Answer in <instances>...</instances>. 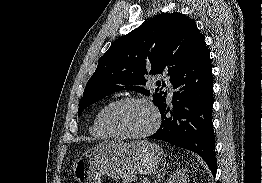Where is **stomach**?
I'll use <instances>...</instances> for the list:
<instances>
[{"label":"stomach","instance_id":"0dacf381","mask_svg":"<svg viewBox=\"0 0 262 183\" xmlns=\"http://www.w3.org/2000/svg\"><path fill=\"white\" fill-rule=\"evenodd\" d=\"M162 156V148L146 140H107L82 154L74 163L73 174L78 183H101L102 175L113 179L146 175L158 169Z\"/></svg>","mask_w":262,"mask_h":183}]
</instances>
